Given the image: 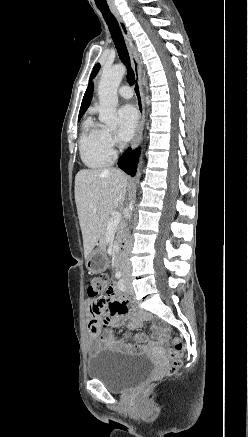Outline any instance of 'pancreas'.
<instances>
[{
    "mask_svg": "<svg viewBox=\"0 0 248 437\" xmlns=\"http://www.w3.org/2000/svg\"><path fill=\"white\" fill-rule=\"evenodd\" d=\"M108 221L109 220H107V222L105 224L104 232H103V235L101 237V241H102L103 244H105V240H106V236L105 235H106V231H107ZM122 231H123V225H119L116 228V230H115V232H116V242L117 243L120 241V237L122 235Z\"/></svg>",
    "mask_w": 248,
    "mask_h": 437,
    "instance_id": "obj_1",
    "label": "pancreas"
}]
</instances>
